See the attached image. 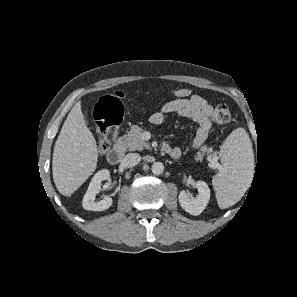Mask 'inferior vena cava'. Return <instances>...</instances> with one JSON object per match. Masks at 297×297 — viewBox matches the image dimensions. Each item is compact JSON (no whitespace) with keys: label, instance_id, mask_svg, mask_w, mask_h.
<instances>
[{"label":"inferior vena cava","instance_id":"inferior-vena-cava-1","mask_svg":"<svg viewBox=\"0 0 297 297\" xmlns=\"http://www.w3.org/2000/svg\"><path fill=\"white\" fill-rule=\"evenodd\" d=\"M140 161H141V156L138 153H129L123 159V162L127 167H134Z\"/></svg>","mask_w":297,"mask_h":297}]
</instances>
